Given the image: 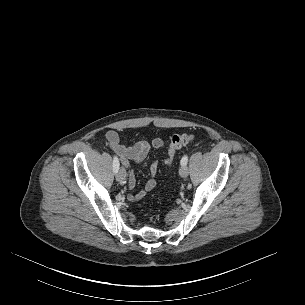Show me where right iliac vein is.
<instances>
[{"instance_id":"63e3f726","label":"right iliac vein","mask_w":305,"mask_h":305,"mask_svg":"<svg viewBox=\"0 0 305 305\" xmlns=\"http://www.w3.org/2000/svg\"><path fill=\"white\" fill-rule=\"evenodd\" d=\"M116 179L119 183H124L125 179H126V171L125 169L122 167L119 169V171L116 174Z\"/></svg>"}]
</instances>
